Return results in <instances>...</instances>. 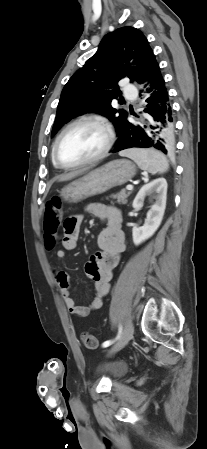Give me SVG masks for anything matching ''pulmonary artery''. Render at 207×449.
<instances>
[{
    "mask_svg": "<svg viewBox=\"0 0 207 449\" xmlns=\"http://www.w3.org/2000/svg\"><path fill=\"white\" fill-rule=\"evenodd\" d=\"M127 98L134 99L137 95V90L133 85H128L124 91Z\"/></svg>",
    "mask_w": 207,
    "mask_h": 449,
    "instance_id": "1",
    "label": "pulmonary artery"
}]
</instances>
